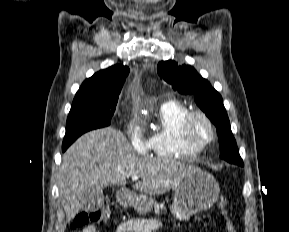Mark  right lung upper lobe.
<instances>
[{
    "label": "right lung upper lobe",
    "instance_id": "right-lung-upper-lobe-1",
    "mask_svg": "<svg viewBox=\"0 0 289 232\" xmlns=\"http://www.w3.org/2000/svg\"><path fill=\"white\" fill-rule=\"evenodd\" d=\"M128 73L129 68L122 65L101 70L82 83L75 98L118 97Z\"/></svg>",
    "mask_w": 289,
    "mask_h": 232
}]
</instances>
